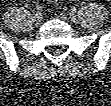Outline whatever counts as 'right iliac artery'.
<instances>
[{"label": "right iliac artery", "instance_id": "1", "mask_svg": "<svg viewBox=\"0 0 111 106\" xmlns=\"http://www.w3.org/2000/svg\"><path fill=\"white\" fill-rule=\"evenodd\" d=\"M42 10H43V7H42V6H37V7H36V11H37V12H41Z\"/></svg>", "mask_w": 111, "mask_h": 106}]
</instances>
